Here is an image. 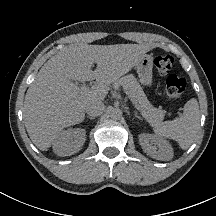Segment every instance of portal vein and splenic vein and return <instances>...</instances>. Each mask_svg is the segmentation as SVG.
Wrapping results in <instances>:
<instances>
[{
  "label": "portal vein and splenic vein",
  "instance_id": "portal-vein-and-splenic-vein-1",
  "mask_svg": "<svg viewBox=\"0 0 216 216\" xmlns=\"http://www.w3.org/2000/svg\"><path fill=\"white\" fill-rule=\"evenodd\" d=\"M124 89V92L128 95V97L130 98V100L132 101L133 104H136L135 103V98H134V94L129 91L126 87H123ZM81 91H86V90H89V87L86 86V85H83L81 88H80ZM136 107V105H135Z\"/></svg>",
  "mask_w": 216,
  "mask_h": 216
}]
</instances>
